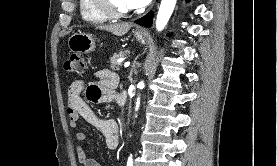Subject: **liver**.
Instances as JSON below:
<instances>
[{"label": "liver", "mask_w": 277, "mask_h": 166, "mask_svg": "<svg viewBox=\"0 0 277 166\" xmlns=\"http://www.w3.org/2000/svg\"><path fill=\"white\" fill-rule=\"evenodd\" d=\"M131 27V23H115L101 25L98 27V29L108 31L116 36H123L130 30Z\"/></svg>", "instance_id": "6515ba94"}]
</instances>
